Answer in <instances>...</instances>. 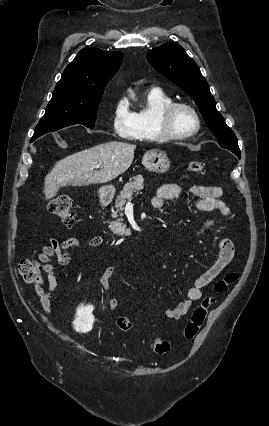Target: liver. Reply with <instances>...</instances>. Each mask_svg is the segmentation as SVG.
Here are the masks:
<instances>
[{
	"label": "liver",
	"instance_id": "liver-1",
	"mask_svg": "<svg viewBox=\"0 0 269 426\" xmlns=\"http://www.w3.org/2000/svg\"><path fill=\"white\" fill-rule=\"evenodd\" d=\"M135 148L130 143L111 141L61 159L45 177V198L55 197L67 185L86 186L113 180L131 166ZM97 165H101L100 170H95Z\"/></svg>",
	"mask_w": 269,
	"mask_h": 426
}]
</instances>
